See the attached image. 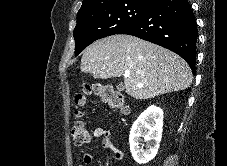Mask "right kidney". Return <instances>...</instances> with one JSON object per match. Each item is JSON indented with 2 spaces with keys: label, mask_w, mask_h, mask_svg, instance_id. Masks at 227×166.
I'll return each instance as SVG.
<instances>
[{
  "label": "right kidney",
  "mask_w": 227,
  "mask_h": 166,
  "mask_svg": "<svg viewBox=\"0 0 227 166\" xmlns=\"http://www.w3.org/2000/svg\"><path fill=\"white\" fill-rule=\"evenodd\" d=\"M163 110L151 105L133 123L130 136V151L138 164H146L157 154L162 138ZM143 138V139H142ZM146 143L144 150L139 145Z\"/></svg>",
  "instance_id": "obj_1"
}]
</instances>
